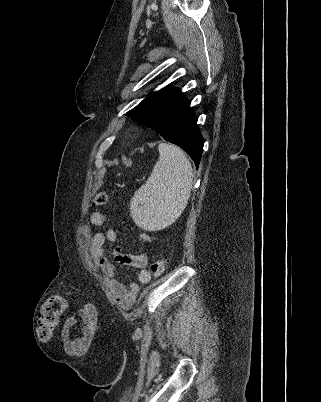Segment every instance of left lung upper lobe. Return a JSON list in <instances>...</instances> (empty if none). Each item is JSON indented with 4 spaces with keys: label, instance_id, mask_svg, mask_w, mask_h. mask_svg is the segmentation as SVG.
I'll list each match as a JSON object with an SVG mask.
<instances>
[{
    "label": "left lung upper lobe",
    "instance_id": "obj_1",
    "mask_svg": "<svg viewBox=\"0 0 321 402\" xmlns=\"http://www.w3.org/2000/svg\"><path fill=\"white\" fill-rule=\"evenodd\" d=\"M173 88H163L148 95L139 105L127 113V116L154 129L158 110Z\"/></svg>",
    "mask_w": 321,
    "mask_h": 402
}]
</instances>
